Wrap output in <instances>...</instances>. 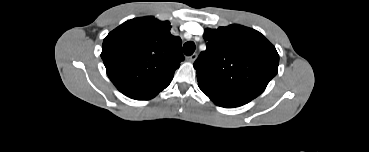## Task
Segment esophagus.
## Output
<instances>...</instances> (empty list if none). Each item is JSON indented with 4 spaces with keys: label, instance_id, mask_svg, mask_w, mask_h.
Returning <instances> with one entry per match:
<instances>
[{
    "label": "esophagus",
    "instance_id": "1",
    "mask_svg": "<svg viewBox=\"0 0 369 152\" xmlns=\"http://www.w3.org/2000/svg\"><path fill=\"white\" fill-rule=\"evenodd\" d=\"M196 58H197V54H196V53H194V54H192L191 56L187 57V60H188L189 62H194V61L196 60Z\"/></svg>",
    "mask_w": 369,
    "mask_h": 152
}]
</instances>
